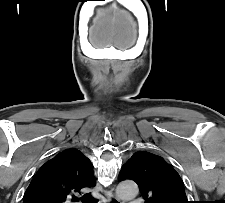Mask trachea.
<instances>
[{
    "label": "trachea",
    "instance_id": "obj_1",
    "mask_svg": "<svg viewBox=\"0 0 225 203\" xmlns=\"http://www.w3.org/2000/svg\"><path fill=\"white\" fill-rule=\"evenodd\" d=\"M83 203H97V201L91 196V194H85L82 198ZM113 203H117L114 201Z\"/></svg>",
    "mask_w": 225,
    "mask_h": 203
}]
</instances>
